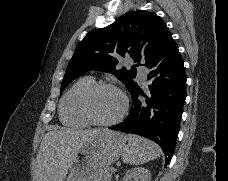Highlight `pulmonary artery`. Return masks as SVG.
<instances>
[{
	"mask_svg": "<svg viewBox=\"0 0 228 181\" xmlns=\"http://www.w3.org/2000/svg\"><path fill=\"white\" fill-rule=\"evenodd\" d=\"M138 70H139V71H144V70H145V67H144V66H139V67H138ZM141 80L143 81V83H145V82H144V80H145L144 78H141Z\"/></svg>",
	"mask_w": 228,
	"mask_h": 181,
	"instance_id": "1",
	"label": "pulmonary artery"
}]
</instances>
